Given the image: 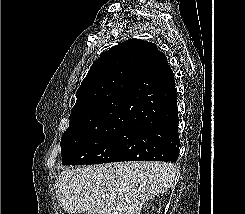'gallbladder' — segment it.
<instances>
[{
  "label": "gallbladder",
  "instance_id": "obj_1",
  "mask_svg": "<svg viewBox=\"0 0 245 214\" xmlns=\"http://www.w3.org/2000/svg\"><path fill=\"white\" fill-rule=\"evenodd\" d=\"M85 214H98V213L95 211H87V212H85Z\"/></svg>",
  "mask_w": 245,
  "mask_h": 214
}]
</instances>
